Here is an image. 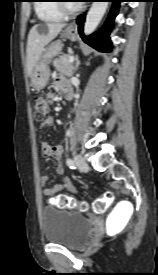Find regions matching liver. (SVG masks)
Listing matches in <instances>:
<instances>
[{
	"mask_svg": "<svg viewBox=\"0 0 158 275\" xmlns=\"http://www.w3.org/2000/svg\"><path fill=\"white\" fill-rule=\"evenodd\" d=\"M65 27L64 23H46L34 25L27 41V71L31 76L32 70L44 51V47L52 41Z\"/></svg>",
	"mask_w": 158,
	"mask_h": 275,
	"instance_id": "obj_1",
	"label": "liver"
}]
</instances>
